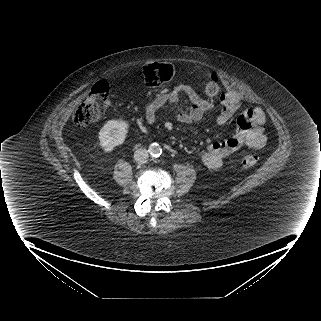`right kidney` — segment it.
Listing matches in <instances>:
<instances>
[{
  "mask_svg": "<svg viewBox=\"0 0 321 321\" xmlns=\"http://www.w3.org/2000/svg\"><path fill=\"white\" fill-rule=\"evenodd\" d=\"M129 125L123 120H109L99 131V145L105 152L125 141Z\"/></svg>",
  "mask_w": 321,
  "mask_h": 321,
  "instance_id": "ca27d5eb",
  "label": "right kidney"
}]
</instances>
